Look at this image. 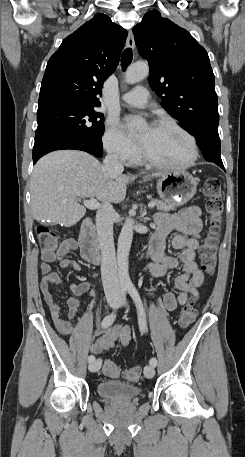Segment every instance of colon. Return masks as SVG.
Instances as JSON below:
<instances>
[{
    "instance_id": "colon-1",
    "label": "colon",
    "mask_w": 245,
    "mask_h": 457,
    "mask_svg": "<svg viewBox=\"0 0 245 457\" xmlns=\"http://www.w3.org/2000/svg\"><path fill=\"white\" fill-rule=\"evenodd\" d=\"M204 195L206 197L208 225L199 253L203 270L207 274H212L216 266V253L223 214L221 183L218 178L210 177L206 180ZM37 237L43 254L51 255L58 250L60 236L55 228L39 226L37 228ZM196 303V297H194L183 307L178 319V325L181 329L187 328L195 320ZM102 372L109 377H118L120 369L113 361L106 359L103 362ZM141 374V368L133 366L123 371V378L128 382H137L141 378Z\"/></svg>"
}]
</instances>
